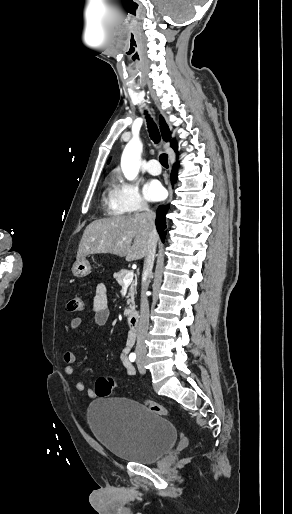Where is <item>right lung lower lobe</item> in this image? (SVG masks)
I'll use <instances>...</instances> for the list:
<instances>
[{
    "instance_id": "98d812e1",
    "label": "right lung lower lobe",
    "mask_w": 292,
    "mask_h": 514,
    "mask_svg": "<svg viewBox=\"0 0 292 514\" xmlns=\"http://www.w3.org/2000/svg\"><path fill=\"white\" fill-rule=\"evenodd\" d=\"M177 180V165H173V170L171 173V183L174 184ZM169 206L160 205L156 211V227L158 230V233L161 237L162 242H164L165 238V229H166V213L168 212Z\"/></svg>"
}]
</instances>
